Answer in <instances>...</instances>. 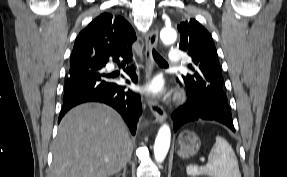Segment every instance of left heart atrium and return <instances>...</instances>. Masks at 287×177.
I'll list each match as a JSON object with an SVG mask.
<instances>
[{
    "label": "left heart atrium",
    "mask_w": 287,
    "mask_h": 177,
    "mask_svg": "<svg viewBox=\"0 0 287 177\" xmlns=\"http://www.w3.org/2000/svg\"><path fill=\"white\" fill-rule=\"evenodd\" d=\"M144 89L148 93L159 95L163 92L164 87L162 81L159 78H154L146 83Z\"/></svg>",
    "instance_id": "obj_1"
}]
</instances>
